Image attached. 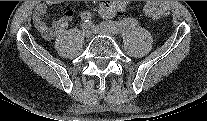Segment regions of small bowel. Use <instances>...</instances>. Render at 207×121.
I'll return each instance as SVG.
<instances>
[{"label": "small bowel", "instance_id": "small-bowel-1", "mask_svg": "<svg viewBox=\"0 0 207 121\" xmlns=\"http://www.w3.org/2000/svg\"><path fill=\"white\" fill-rule=\"evenodd\" d=\"M54 3L53 1L39 2L33 14L34 25L45 40H51L62 32L69 25L73 17V11L68 10L62 17L55 19L51 25H48L45 20V14L47 7ZM124 6L125 3L120 1H102L100 3L101 16L103 18H111L115 14L120 13L124 9Z\"/></svg>", "mask_w": 207, "mask_h": 121}]
</instances>
